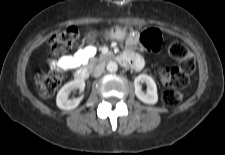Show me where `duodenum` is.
I'll return each instance as SVG.
<instances>
[{
    "instance_id": "obj_1",
    "label": "duodenum",
    "mask_w": 225,
    "mask_h": 155,
    "mask_svg": "<svg viewBox=\"0 0 225 155\" xmlns=\"http://www.w3.org/2000/svg\"><path fill=\"white\" fill-rule=\"evenodd\" d=\"M117 60L124 66H133L134 68H138L136 62L132 61L128 57L124 56L123 54L118 56ZM88 77H89V69L87 67H83L75 73V78L80 81L85 80Z\"/></svg>"
}]
</instances>
